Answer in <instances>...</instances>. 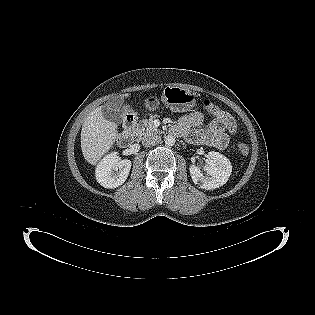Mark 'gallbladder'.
<instances>
[{"label":"gallbladder","mask_w":315,"mask_h":315,"mask_svg":"<svg viewBox=\"0 0 315 315\" xmlns=\"http://www.w3.org/2000/svg\"><path fill=\"white\" fill-rule=\"evenodd\" d=\"M116 103H119V99L110 101L108 105L104 106L102 113L107 120L120 123L121 117L118 108L115 105Z\"/></svg>","instance_id":"bac80fb5"}]
</instances>
